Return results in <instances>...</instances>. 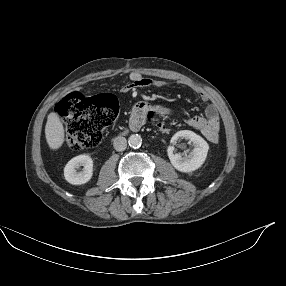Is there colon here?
<instances>
[{
	"instance_id": "colon-1",
	"label": "colon",
	"mask_w": 286,
	"mask_h": 286,
	"mask_svg": "<svg viewBox=\"0 0 286 286\" xmlns=\"http://www.w3.org/2000/svg\"><path fill=\"white\" fill-rule=\"evenodd\" d=\"M118 108V100L111 94L88 98L72 92L58 101L55 112L65 126L68 146L74 150H86L98 144L103 131L116 117ZM162 118L159 109L144 114L146 123L151 126L166 127ZM201 136L205 142L214 144L220 140L222 131L218 125L209 123L203 127Z\"/></svg>"
}]
</instances>
